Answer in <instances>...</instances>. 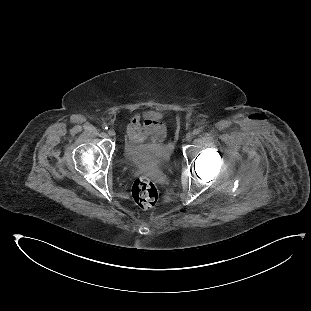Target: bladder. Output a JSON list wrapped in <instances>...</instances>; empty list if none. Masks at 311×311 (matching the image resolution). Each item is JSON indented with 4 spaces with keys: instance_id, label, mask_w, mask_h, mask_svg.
Listing matches in <instances>:
<instances>
[{
    "instance_id": "bladder-1",
    "label": "bladder",
    "mask_w": 311,
    "mask_h": 311,
    "mask_svg": "<svg viewBox=\"0 0 311 311\" xmlns=\"http://www.w3.org/2000/svg\"><path fill=\"white\" fill-rule=\"evenodd\" d=\"M120 151L125 161L130 165L142 170H156L169 164L172 159L173 148L167 142L131 147L129 140L125 138Z\"/></svg>"
}]
</instances>
